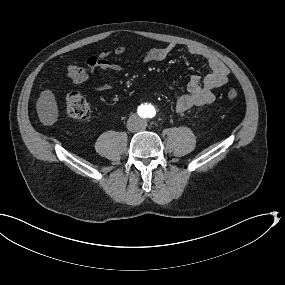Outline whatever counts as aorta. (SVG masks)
<instances>
[{"label": "aorta", "mask_w": 285, "mask_h": 285, "mask_svg": "<svg viewBox=\"0 0 285 285\" xmlns=\"http://www.w3.org/2000/svg\"><path fill=\"white\" fill-rule=\"evenodd\" d=\"M142 116L150 120H157L163 114V107L157 101H150L142 107Z\"/></svg>", "instance_id": "762f6f07"}]
</instances>
